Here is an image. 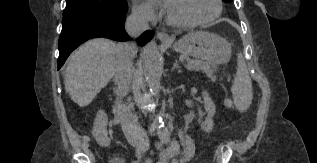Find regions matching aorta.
I'll use <instances>...</instances> for the list:
<instances>
[{"mask_svg": "<svg viewBox=\"0 0 317 163\" xmlns=\"http://www.w3.org/2000/svg\"><path fill=\"white\" fill-rule=\"evenodd\" d=\"M143 69L151 92L158 94L161 88L162 58L154 41L148 42L144 47Z\"/></svg>", "mask_w": 317, "mask_h": 163, "instance_id": "762f6f07", "label": "aorta"}]
</instances>
